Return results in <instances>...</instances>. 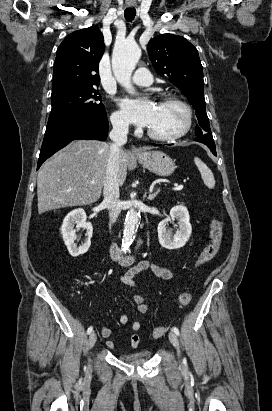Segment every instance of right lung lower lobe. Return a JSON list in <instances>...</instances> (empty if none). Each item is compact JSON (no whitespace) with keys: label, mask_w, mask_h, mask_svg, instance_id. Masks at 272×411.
Returning a JSON list of instances; mask_svg holds the SVG:
<instances>
[{"label":"right lung lower lobe","mask_w":272,"mask_h":411,"mask_svg":"<svg viewBox=\"0 0 272 411\" xmlns=\"http://www.w3.org/2000/svg\"><path fill=\"white\" fill-rule=\"evenodd\" d=\"M109 129L107 116H78L46 128L37 169L55 152L75 139L106 140Z\"/></svg>","instance_id":"1"}]
</instances>
